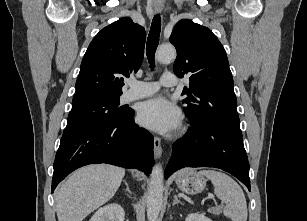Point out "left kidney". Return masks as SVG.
Segmentation results:
<instances>
[{
  "label": "left kidney",
  "instance_id": "5707ae66",
  "mask_svg": "<svg viewBox=\"0 0 307 221\" xmlns=\"http://www.w3.org/2000/svg\"><path fill=\"white\" fill-rule=\"evenodd\" d=\"M185 221H212V220L203 214L192 213L186 217Z\"/></svg>",
  "mask_w": 307,
  "mask_h": 221
}]
</instances>
